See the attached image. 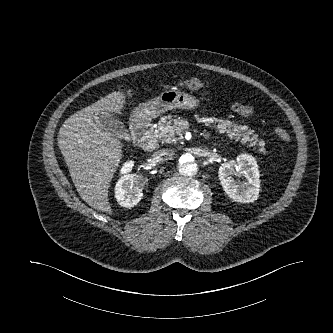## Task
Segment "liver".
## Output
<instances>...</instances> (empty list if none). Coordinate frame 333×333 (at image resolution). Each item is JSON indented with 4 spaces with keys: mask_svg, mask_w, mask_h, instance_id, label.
<instances>
[{
    "mask_svg": "<svg viewBox=\"0 0 333 333\" xmlns=\"http://www.w3.org/2000/svg\"><path fill=\"white\" fill-rule=\"evenodd\" d=\"M122 91L112 92L69 117L59 131V146L80 197L98 211L111 214L110 182L122 158L123 144L96 122L99 113L121 114Z\"/></svg>",
    "mask_w": 333,
    "mask_h": 333,
    "instance_id": "obj_1",
    "label": "liver"
}]
</instances>
